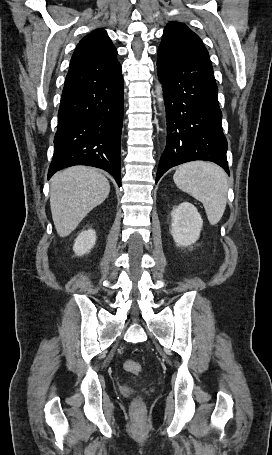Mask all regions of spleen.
I'll return each instance as SVG.
<instances>
[{
  "instance_id": "obj_1",
  "label": "spleen",
  "mask_w": 272,
  "mask_h": 455,
  "mask_svg": "<svg viewBox=\"0 0 272 455\" xmlns=\"http://www.w3.org/2000/svg\"><path fill=\"white\" fill-rule=\"evenodd\" d=\"M173 180L177 187L202 202L211 225L222 218L228 183L225 171L213 163L194 161L178 167Z\"/></svg>"
}]
</instances>
